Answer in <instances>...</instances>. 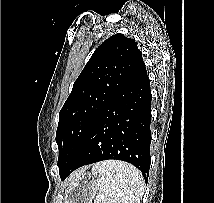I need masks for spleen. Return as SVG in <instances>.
Listing matches in <instances>:
<instances>
[{
    "label": "spleen",
    "instance_id": "1",
    "mask_svg": "<svg viewBox=\"0 0 214 203\" xmlns=\"http://www.w3.org/2000/svg\"><path fill=\"white\" fill-rule=\"evenodd\" d=\"M92 173L100 183L94 203H140L144 178L134 166L110 160L95 164Z\"/></svg>",
    "mask_w": 214,
    "mask_h": 203
}]
</instances>
